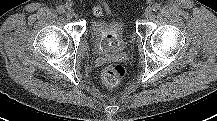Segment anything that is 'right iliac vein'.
Segmentation results:
<instances>
[{
  "label": "right iliac vein",
  "instance_id": "63e3f726",
  "mask_svg": "<svg viewBox=\"0 0 217 121\" xmlns=\"http://www.w3.org/2000/svg\"><path fill=\"white\" fill-rule=\"evenodd\" d=\"M65 15L68 19H72L74 14L71 10H67Z\"/></svg>",
  "mask_w": 217,
  "mask_h": 121
}]
</instances>
